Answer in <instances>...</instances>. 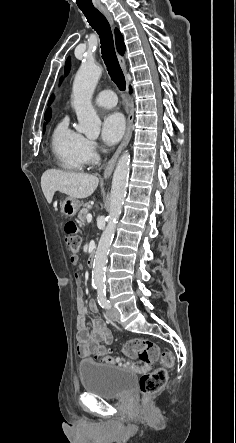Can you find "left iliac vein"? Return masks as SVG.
<instances>
[{
    "label": "left iliac vein",
    "mask_w": 236,
    "mask_h": 443,
    "mask_svg": "<svg viewBox=\"0 0 236 443\" xmlns=\"http://www.w3.org/2000/svg\"><path fill=\"white\" fill-rule=\"evenodd\" d=\"M107 317L112 321H119L120 314L117 309L110 308L106 312Z\"/></svg>",
    "instance_id": "left-iliac-vein-1"
}]
</instances>
